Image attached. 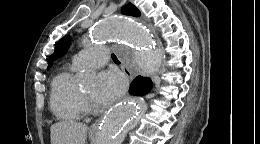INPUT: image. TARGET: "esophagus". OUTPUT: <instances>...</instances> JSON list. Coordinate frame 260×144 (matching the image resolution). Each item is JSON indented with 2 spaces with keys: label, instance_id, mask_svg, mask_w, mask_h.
I'll list each match as a JSON object with an SVG mask.
<instances>
[{
  "label": "esophagus",
  "instance_id": "34e87169",
  "mask_svg": "<svg viewBox=\"0 0 260 144\" xmlns=\"http://www.w3.org/2000/svg\"><path fill=\"white\" fill-rule=\"evenodd\" d=\"M122 70H123L125 76H126L128 79L132 80V79L134 78V74L129 70V68H128L123 62H122ZM97 128H98V123H94V124L92 125V130H93V131H96Z\"/></svg>",
  "mask_w": 260,
  "mask_h": 144
}]
</instances>
